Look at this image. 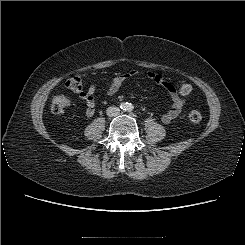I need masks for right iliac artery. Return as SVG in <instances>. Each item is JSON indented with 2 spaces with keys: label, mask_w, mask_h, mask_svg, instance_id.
Returning <instances> with one entry per match:
<instances>
[{
  "label": "right iliac artery",
  "mask_w": 245,
  "mask_h": 245,
  "mask_svg": "<svg viewBox=\"0 0 245 245\" xmlns=\"http://www.w3.org/2000/svg\"><path fill=\"white\" fill-rule=\"evenodd\" d=\"M120 107H121V109H124L126 107V104L122 103Z\"/></svg>",
  "instance_id": "obj_1"
}]
</instances>
